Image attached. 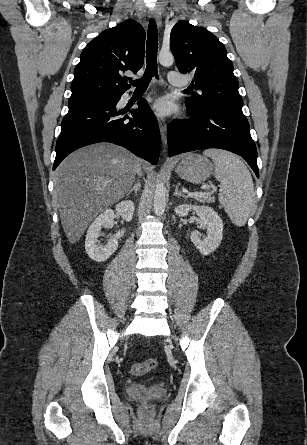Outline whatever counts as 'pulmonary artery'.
<instances>
[{"label":"pulmonary artery","mask_w":307,"mask_h":445,"mask_svg":"<svg viewBox=\"0 0 307 445\" xmlns=\"http://www.w3.org/2000/svg\"><path fill=\"white\" fill-rule=\"evenodd\" d=\"M167 84H174L175 90H188L189 83L187 75H179L177 69H170L166 77Z\"/></svg>","instance_id":"pulmonary-artery-1"}]
</instances>
